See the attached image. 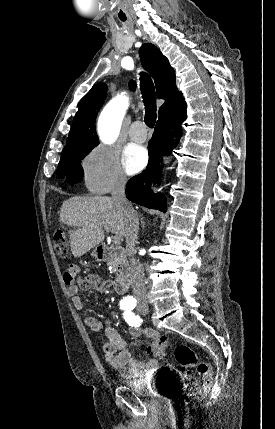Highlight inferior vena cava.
I'll list each match as a JSON object with an SVG mask.
<instances>
[{"label":"inferior vena cava","mask_w":275,"mask_h":429,"mask_svg":"<svg viewBox=\"0 0 275 429\" xmlns=\"http://www.w3.org/2000/svg\"><path fill=\"white\" fill-rule=\"evenodd\" d=\"M126 178L121 177L112 190V199L118 205L125 220L126 253L129 256V270L132 276V288L138 304H147L144 268L139 260L134 258L135 246L138 239L139 220L135 209L125 196Z\"/></svg>","instance_id":"602c4592"}]
</instances>
